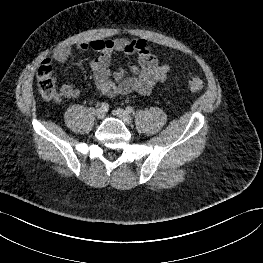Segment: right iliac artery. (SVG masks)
Returning <instances> with one entry per match:
<instances>
[{
	"mask_svg": "<svg viewBox=\"0 0 263 263\" xmlns=\"http://www.w3.org/2000/svg\"><path fill=\"white\" fill-rule=\"evenodd\" d=\"M108 107H109V105H108L106 102H103V103L101 104V108L104 109V110H107Z\"/></svg>",
	"mask_w": 263,
	"mask_h": 263,
	"instance_id": "82829eb1",
	"label": "right iliac artery"
}]
</instances>
